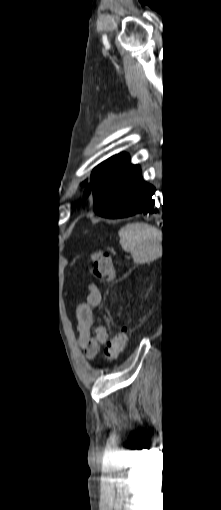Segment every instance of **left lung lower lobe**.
I'll use <instances>...</instances> for the list:
<instances>
[{"mask_svg": "<svg viewBox=\"0 0 221 510\" xmlns=\"http://www.w3.org/2000/svg\"><path fill=\"white\" fill-rule=\"evenodd\" d=\"M155 188L143 181L141 174L129 183L110 203L95 212L105 218L117 219L140 213H157L154 209Z\"/></svg>", "mask_w": 221, "mask_h": 510, "instance_id": "left-lung-lower-lobe-1", "label": "left lung lower lobe"}]
</instances>
